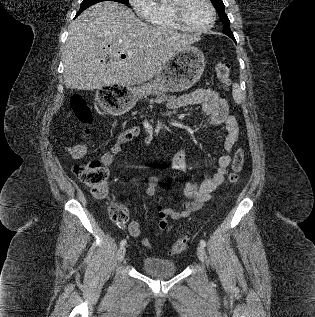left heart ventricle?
<instances>
[{
    "label": "left heart ventricle",
    "instance_id": "left-heart-ventricle-1",
    "mask_svg": "<svg viewBox=\"0 0 315 317\" xmlns=\"http://www.w3.org/2000/svg\"><path fill=\"white\" fill-rule=\"evenodd\" d=\"M183 18L191 27H205L210 21V11L204 0H186Z\"/></svg>",
    "mask_w": 315,
    "mask_h": 317
}]
</instances>
